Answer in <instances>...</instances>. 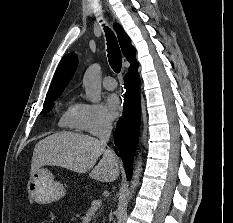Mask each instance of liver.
<instances>
[{
  "instance_id": "liver-1",
  "label": "liver",
  "mask_w": 233,
  "mask_h": 223,
  "mask_svg": "<svg viewBox=\"0 0 233 223\" xmlns=\"http://www.w3.org/2000/svg\"><path fill=\"white\" fill-rule=\"evenodd\" d=\"M42 165H58L76 173L89 171V177L97 181H115L120 175L113 151L106 149V145L96 137L72 131L52 133L36 143L30 175Z\"/></svg>"
}]
</instances>
